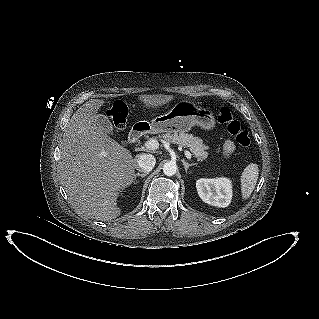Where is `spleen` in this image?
Instances as JSON below:
<instances>
[{
    "label": "spleen",
    "mask_w": 319,
    "mask_h": 319,
    "mask_svg": "<svg viewBox=\"0 0 319 319\" xmlns=\"http://www.w3.org/2000/svg\"><path fill=\"white\" fill-rule=\"evenodd\" d=\"M258 176L259 169L256 163H250L242 172L240 182L242 198L244 200L249 198L253 190L255 189Z\"/></svg>",
    "instance_id": "obj_1"
}]
</instances>
